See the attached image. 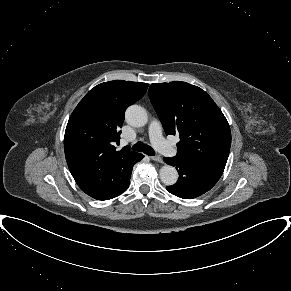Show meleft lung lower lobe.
<instances>
[{"instance_id":"0a47b994","label":"left lung lower lobe","mask_w":291,"mask_h":291,"mask_svg":"<svg viewBox=\"0 0 291 291\" xmlns=\"http://www.w3.org/2000/svg\"><path fill=\"white\" fill-rule=\"evenodd\" d=\"M163 160L175 166L179 173L178 181L166 189L183 199H192L210 190L220 179L225 168V164L221 163L187 160L176 156Z\"/></svg>"}]
</instances>
